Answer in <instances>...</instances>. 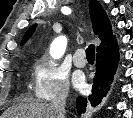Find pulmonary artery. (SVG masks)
<instances>
[{
    "instance_id": "obj_1",
    "label": "pulmonary artery",
    "mask_w": 133,
    "mask_h": 118,
    "mask_svg": "<svg viewBox=\"0 0 133 118\" xmlns=\"http://www.w3.org/2000/svg\"><path fill=\"white\" fill-rule=\"evenodd\" d=\"M73 62L77 67H84L86 65L84 49H77L73 56Z\"/></svg>"
}]
</instances>
